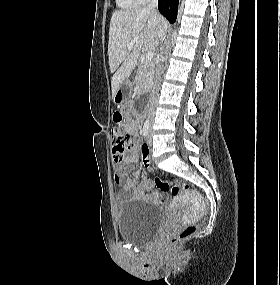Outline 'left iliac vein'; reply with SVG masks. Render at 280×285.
I'll return each instance as SVG.
<instances>
[{"label":"left iliac vein","instance_id":"left-iliac-vein-1","mask_svg":"<svg viewBox=\"0 0 280 285\" xmlns=\"http://www.w3.org/2000/svg\"><path fill=\"white\" fill-rule=\"evenodd\" d=\"M148 143H149V144L152 143V139H151V129H150V133H149V137H148Z\"/></svg>","mask_w":280,"mask_h":285}]
</instances>
